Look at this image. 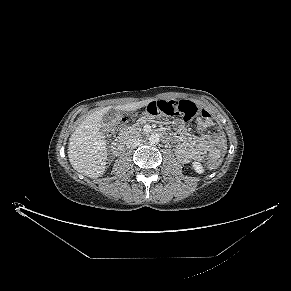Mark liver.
Listing matches in <instances>:
<instances>
[{
	"label": "liver",
	"instance_id": "1",
	"mask_svg": "<svg viewBox=\"0 0 291 291\" xmlns=\"http://www.w3.org/2000/svg\"><path fill=\"white\" fill-rule=\"evenodd\" d=\"M150 101L108 106L87 116L70 137L68 157L72 167L89 178L102 176L107 160L106 137L100 131L103 115L112 108L124 112L134 111L146 106Z\"/></svg>",
	"mask_w": 291,
	"mask_h": 291
}]
</instances>
